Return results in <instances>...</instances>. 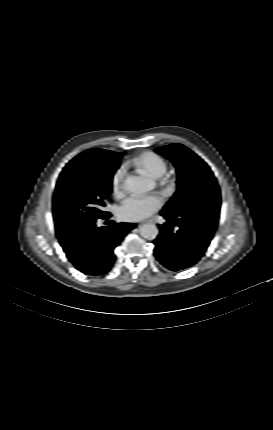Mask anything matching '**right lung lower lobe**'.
<instances>
[{
  "label": "right lung lower lobe",
  "instance_id": "98d812e1",
  "mask_svg": "<svg viewBox=\"0 0 273 430\" xmlns=\"http://www.w3.org/2000/svg\"><path fill=\"white\" fill-rule=\"evenodd\" d=\"M135 227L133 223H114L98 228L94 222L59 242L76 269L90 276H100L112 268L115 247Z\"/></svg>",
  "mask_w": 273,
  "mask_h": 430
}]
</instances>
